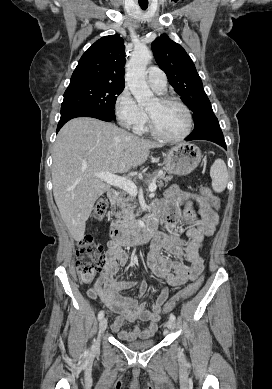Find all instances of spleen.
<instances>
[{"mask_svg":"<svg viewBox=\"0 0 272 389\" xmlns=\"http://www.w3.org/2000/svg\"><path fill=\"white\" fill-rule=\"evenodd\" d=\"M212 188L215 192H223L228 183V171L222 159H216L210 168Z\"/></svg>","mask_w":272,"mask_h":389,"instance_id":"3e777b00","label":"spleen"}]
</instances>
